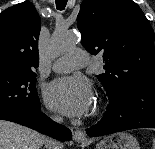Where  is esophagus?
Segmentation results:
<instances>
[{"mask_svg":"<svg viewBox=\"0 0 155 149\" xmlns=\"http://www.w3.org/2000/svg\"><path fill=\"white\" fill-rule=\"evenodd\" d=\"M73 139L76 142H86L87 141L85 133L80 129H76L73 131Z\"/></svg>","mask_w":155,"mask_h":149,"instance_id":"obj_1","label":"esophagus"}]
</instances>
